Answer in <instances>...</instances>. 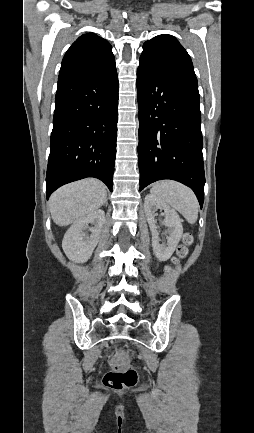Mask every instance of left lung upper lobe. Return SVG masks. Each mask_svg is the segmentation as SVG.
<instances>
[{
	"label": "left lung upper lobe",
	"instance_id": "5c2ea615",
	"mask_svg": "<svg viewBox=\"0 0 254 433\" xmlns=\"http://www.w3.org/2000/svg\"><path fill=\"white\" fill-rule=\"evenodd\" d=\"M140 60L166 73L197 83L190 56L171 35L163 34L146 41Z\"/></svg>",
	"mask_w": 254,
	"mask_h": 433
}]
</instances>
